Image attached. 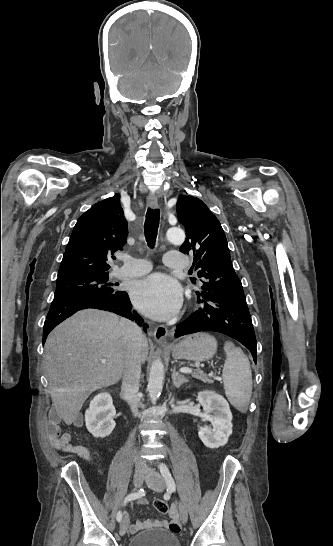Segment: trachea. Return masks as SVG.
Here are the masks:
<instances>
[{
	"mask_svg": "<svg viewBox=\"0 0 333 546\" xmlns=\"http://www.w3.org/2000/svg\"><path fill=\"white\" fill-rule=\"evenodd\" d=\"M160 220V211L149 208L146 213L144 232L147 244L150 248L155 245Z\"/></svg>",
	"mask_w": 333,
	"mask_h": 546,
	"instance_id": "1",
	"label": "trachea"
}]
</instances>
